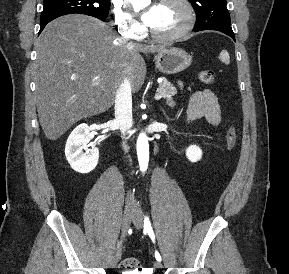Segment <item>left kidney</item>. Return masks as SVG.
<instances>
[{
	"label": "left kidney",
	"mask_w": 289,
	"mask_h": 274,
	"mask_svg": "<svg viewBox=\"0 0 289 274\" xmlns=\"http://www.w3.org/2000/svg\"><path fill=\"white\" fill-rule=\"evenodd\" d=\"M186 157L191 162H197L202 158V150L196 145H191L186 149Z\"/></svg>",
	"instance_id": "5707ae66"
}]
</instances>
